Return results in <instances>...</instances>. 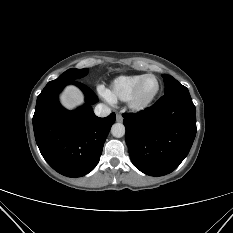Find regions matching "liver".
I'll list each match as a JSON object with an SVG mask.
<instances>
[{
	"label": "liver",
	"instance_id": "liver-1",
	"mask_svg": "<svg viewBox=\"0 0 233 233\" xmlns=\"http://www.w3.org/2000/svg\"><path fill=\"white\" fill-rule=\"evenodd\" d=\"M60 102L67 109H74L84 103L82 92L75 86L69 85L60 94Z\"/></svg>",
	"mask_w": 233,
	"mask_h": 233
}]
</instances>
